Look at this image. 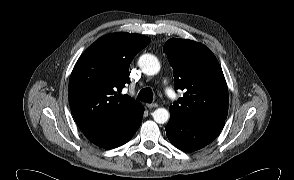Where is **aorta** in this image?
Masks as SVG:
<instances>
[{
  "label": "aorta",
  "instance_id": "obj_1",
  "mask_svg": "<svg viewBox=\"0 0 294 180\" xmlns=\"http://www.w3.org/2000/svg\"><path fill=\"white\" fill-rule=\"evenodd\" d=\"M139 67L144 74L152 76L159 72L160 62L152 54H143L139 58ZM169 117V111L165 108H158L153 112L154 121L158 124L166 123Z\"/></svg>",
  "mask_w": 294,
  "mask_h": 180
}]
</instances>
